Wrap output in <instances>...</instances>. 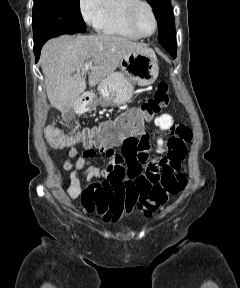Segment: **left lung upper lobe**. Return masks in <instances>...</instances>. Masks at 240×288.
<instances>
[{"label": "left lung upper lobe", "instance_id": "5c2ea615", "mask_svg": "<svg viewBox=\"0 0 240 288\" xmlns=\"http://www.w3.org/2000/svg\"><path fill=\"white\" fill-rule=\"evenodd\" d=\"M155 12L159 25V43L165 49H177L175 22L171 0H147Z\"/></svg>", "mask_w": 240, "mask_h": 288}]
</instances>
